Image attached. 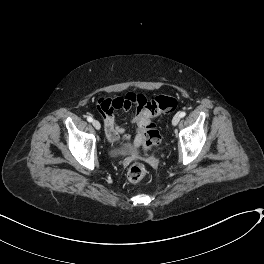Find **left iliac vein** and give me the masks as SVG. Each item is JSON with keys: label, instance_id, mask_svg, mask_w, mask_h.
<instances>
[{"label": "left iliac vein", "instance_id": "left-iliac-vein-1", "mask_svg": "<svg viewBox=\"0 0 264 264\" xmlns=\"http://www.w3.org/2000/svg\"><path fill=\"white\" fill-rule=\"evenodd\" d=\"M180 116H179V114H176L174 117H173V119H172V125L173 126H176L178 123H179V121H180Z\"/></svg>", "mask_w": 264, "mask_h": 264}]
</instances>
